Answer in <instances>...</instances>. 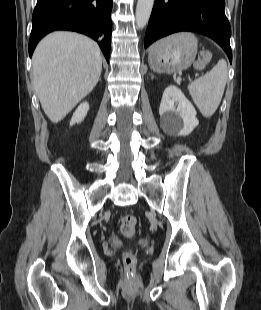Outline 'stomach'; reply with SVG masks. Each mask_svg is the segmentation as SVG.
I'll return each instance as SVG.
<instances>
[{
    "mask_svg": "<svg viewBox=\"0 0 261 310\" xmlns=\"http://www.w3.org/2000/svg\"><path fill=\"white\" fill-rule=\"evenodd\" d=\"M197 49L198 42L193 34H174L152 45L148 55L149 65L157 73L183 71L194 62Z\"/></svg>",
    "mask_w": 261,
    "mask_h": 310,
    "instance_id": "0dacf381",
    "label": "stomach"
}]
</instances>
